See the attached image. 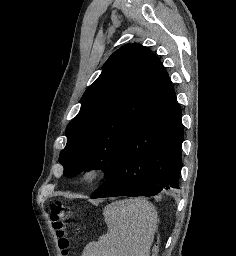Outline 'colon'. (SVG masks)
<instances>
[{
    "mask_svg": "<svg viewBox=\"0 0 236 256\" xmlns=\"http://www.w3.org/2000/svg\"><path fill=\"white\" fill-rule=\"evenodd\" d=\"M72 214L73 211L59 200L52 202L48 208V216L52 222L53 229L58 238V247L63 256L68 255L71 246L70 239L65 233V224L71 218Z\"/></svg>",
    "mask_w": 236,
    "mask_h": 256,
    "instance_id": "5ec220e1",
    "label": "colon"
}]
</instances>
